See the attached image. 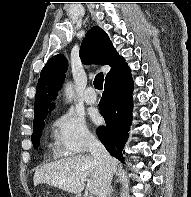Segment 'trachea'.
Masks as SVG:
<instances>
[{
	"label": "trachea",
	"mask_w": 191,
	"mask_h": 197,
	"mask_svg": "<svg viewBox=\"0 0 191 197\" xmlns=\"http://www.w3.org/2000/svg\"><path fill=\"white\" fill-rule=\"evenodd\" d=\"M103 81H104V75L103 73H99L96 75L95 80H94V86L98 90L103 89Z\"/></svg>",
	"instance_id": "obj_1"
}]
</instances>
